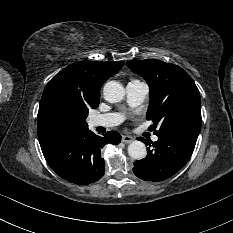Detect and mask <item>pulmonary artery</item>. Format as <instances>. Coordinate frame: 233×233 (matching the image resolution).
<instances>
[{
  "label": "pulmonary artery",
  "instance_id": "e3ab8cb5",
  "mask_svg": "<svg viewBox=\"0 0 233 233\" xmlns=\"http://www.w3.org/2000/svg\"><path fill=\"white\" fill-rule=\"evenodd\" d=\"M126 94L128 103L131 106L140 105L148 94V86L140 80H132L126 86ZM123 116L118 113H108L94 116L91 120L92 125L95 127H113L120 124ZM153 141L158 140V136L152 137Z\"/></svg>",
  "mask_w": 233,
  "mask_h": 233
}]
</instances>
